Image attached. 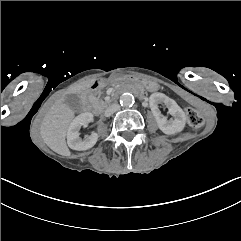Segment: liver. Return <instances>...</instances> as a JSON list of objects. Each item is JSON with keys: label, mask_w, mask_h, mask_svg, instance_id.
<instances>
[{"label": "liver", "mask_w": 241, "mask_h": 241, "mask_svg": "<svg viewBox=\"0 0 241 241\" xmlns=\"http://www.w3.org/2000/svg\"><path fill=\"white\" fill-rule=\"evenodd\" d=\"M94 83L95 79L84 81L67 93L80 94ZM64 101V97H61L50 107L42 121L40 133L46 145L54 152L63 156H70L65 138L68 126L74 118V111Z\"/></svg>", "instance_id": "6515ba94"}]
</instances>
